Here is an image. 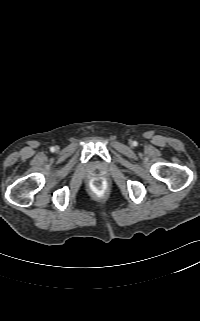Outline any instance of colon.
Here are the masks:
<instances>
[{
	"label": "colon",
	"mask_w": 200,
	"mask_h": 321,
	"mask_svg": "<svg viewBox=\"0 0 200 321\" xmlns=\"http://www.w3.org/2000/svg\"><path fill=\"white\" fill-rule=\"evenodd\" d=\"M91 187L95 192L101 193L105 189V182L102 178H96L92 181Z\"/></svg>",
	"instance_id": "obj_1"
}]
</instances>
